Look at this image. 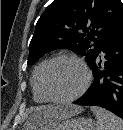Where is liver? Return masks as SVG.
<instances>
[{"mask_svg":"<svg viewBox=\"0 0 123 130\" xmlns=\"http://www.w3.org/2000/svg\"><path fill=\"white\" fill-rule=\"evenodd\" d=\"M79 106H40L29 117L26 128L32 130H48L62 120H66L82 112Z\"/></svg>","mask_w":123,"mask_h":130,"instance_id":"liver-1","label":"liver"}]
</instances>
